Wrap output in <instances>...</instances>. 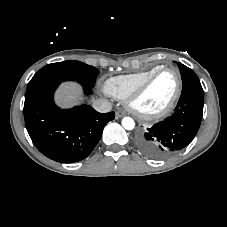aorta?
<instances>
[{"label":"aorta","mask_w":227,"mask_h":227,"mask_svg":"<svg viewBox=\"0 0 227 227\" xmlns=\"http://www.w3.org/2000/svg\"><path fill=\"white\" fill-rule=\"evenodd\" d=\"M122 126L126 129V130H132L135 127V122L132 118L130 117H124L122 119Z\"/></svg>","instance_id":"762f6f07"}]
</instances>
